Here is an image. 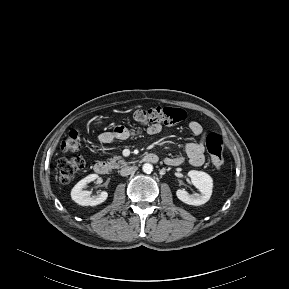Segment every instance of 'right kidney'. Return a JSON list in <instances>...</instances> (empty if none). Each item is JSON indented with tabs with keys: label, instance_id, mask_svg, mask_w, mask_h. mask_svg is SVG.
Returning <instances> with one entry per match:
<instances>
[{
	"label": "right kidney",
	"instance_id": "1",
	"mask_svg": "<svg viewBox=\"0 0 289 289\" xmlns=\"http://www.w3.org/2000/svg\"><path fill=\"white\" fill-rule=\"evenodd\" d=\"M98 178L97 174H91L80 180L71 191V198L81 206H96L103 203L108 193L103 191L101 194L94 196L90 191L84 190L86 185Z\"/></svg>",
	"mask_w": 289,
	"mask_h": 289
}]
</instances>
